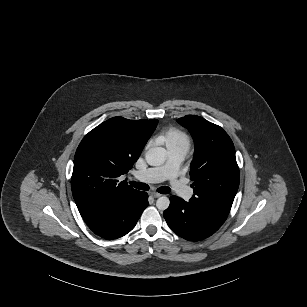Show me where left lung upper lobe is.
Returning <instances> with one entry per match:
<instances>
[{"label":"left lung upper lobe","instance_id":"obj_1","mask_svg":"<svg viewBox=\"0 0 307 307\" xmlns=\"http://www.w3.org/2000/svg\"><path fill=\"white\" fill-rule=\"evenodd\" d=\"M195 143L190 178L194 196L189 202L202 212L225 221L239 187V168L228 134L200 116L178 119Z\"/></svg>","mask_w":307,"mask_h":307}]
</instances>
